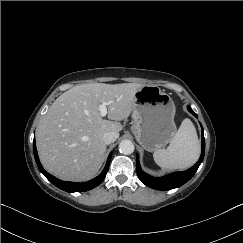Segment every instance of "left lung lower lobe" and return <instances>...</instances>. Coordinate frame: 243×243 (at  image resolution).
I'll return each instance as SVG.
<instances>
[{"label":"left lung lower lobe","instance_id":"left-lung-lower-lobe-1","mask_svg":"<svg viewBox=\"0 0 243 243\" xmlns=\"http://www.w3.org/2000/svg\"><path fill=\"white\" fill-rule=\"evenodd\" d=\"M188 111L192 113L195 117H197V114L191 109L190 106L187 107ZM202 127V125H201ZM204 153H205V139H204V134H203V127H202V150H201V156L198 160V162L191 168H189L186 171L182 172H174L168 176L165 177H152L145 172L142 171L139 163V159L137 157L136 159V171L139 179L148 187H151L156 190H170L174 189L177 187L182 186L185 184L187 181H189L197 169L199 168L200 164L203 161L204 158Z\"/></svg>","mask_w":243,"mask_h":243}]
</instances>
